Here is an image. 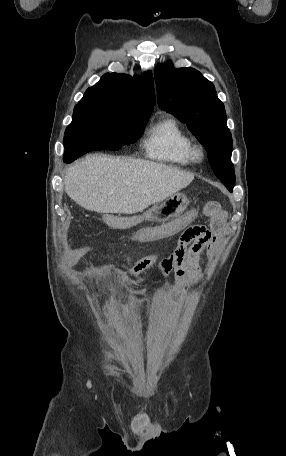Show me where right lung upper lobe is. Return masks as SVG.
Instances as JSON below:
<instances>
[{
    "instance_id": "cb5924a9",
    "label": "right lung upper lobe",
    "mask_w": 286,
    "mask_h": 456,
    "mask_svg": "<svg viewBox=\"0 0 286 456\" xmlns=\"http://www.w3.org/2000/svg\"><path fill=\"white\" fill-rule=\"evenodd\" d=\"M155 102L153 77L148 71L134 77L106 73L95 86L86 90L77 105L150 116Z\"/></svg>"
}]
</instances>
